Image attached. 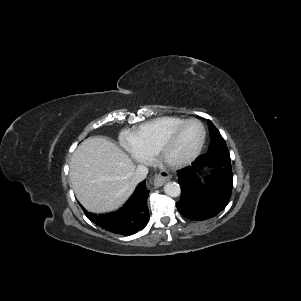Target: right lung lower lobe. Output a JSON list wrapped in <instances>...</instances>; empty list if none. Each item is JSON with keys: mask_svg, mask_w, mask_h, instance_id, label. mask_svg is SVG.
<instances>
[{"mask_svg": "<svg viewBox=\"0 0 301 301\" xmlns=\"http://www.w3.org/2000/svg\"><path fill=\"white\" fill-rule=\"evenodd\" d=\"M149 191L145 181L138 185L133 195L118 211L108 214H91L84 210L86 216L102 229L124 236L133 235L142 230L149 221L147 198Z\"/></svg>", "mask_w": 301, "mask_h": 301, "instance_id": "right-lung-lower-lobe-1", "label": "right lung lower lobe"}]
</instances>
